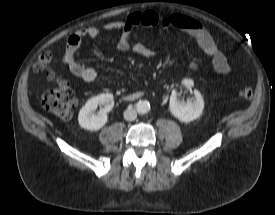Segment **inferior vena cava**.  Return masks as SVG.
<instances>
[{
    "label": "inferior vena cava",
    "instance_id": "602c4592",
    "mask_svg": "<svg viewBox=\"0 0 275 215\" xmlns=\"http://www.w3.org/2000/svg\"><path fill=\"white\" fill-rule=\"evenodd\" d=\"M124 119L127 121H133L137 117V112L134 109H126L124 111Z\"/></svg>",
    "mask_w": 275,
    "mask_h": 215
}]
</instances>
